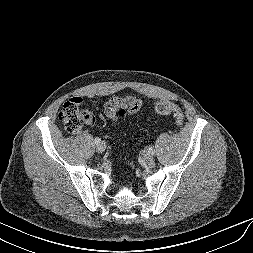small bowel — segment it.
Listing matches in <instances>:
<instances>
[{
	"instance_id": "c3829d8e",
	"label": "small bowel",
	"mask_w": 253,
	"mask_h": 253,
	"mask_svg": "<svg viewBox=\"0 0 253 253\" xmlns=\"http://www.w3.org/2000/svg\"><path fill=\"white\" fill-rule=\"evenodd\" d=\"M142 102L134 96L114 97L110 99L105 105L106 116L114 122L117 118V112L120 109H125L129 116L134 115L141 108Z\"/></svg>"
}]
</instances>
